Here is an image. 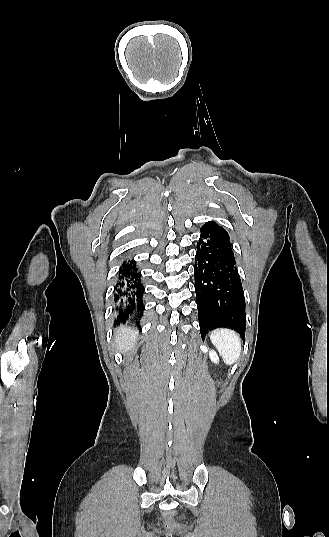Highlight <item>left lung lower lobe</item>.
<instances>
[{
    "instance_id": "1",
    "label": "left lung lower lobe",
    "mask_w": 329,
    "mask_h": 537,
    "mask_svg": "<svg viewBox=\"0 0 329 537\" xmlns=\"http://www.w3.org/2000/svg\"><path fill=\"white\" fill-rule=\"evenodd\" d=\"M194 277L201 337L227 327L245 338V297L229 234L215 222L201 229Z\"/></svg>"
}]
</instances>
